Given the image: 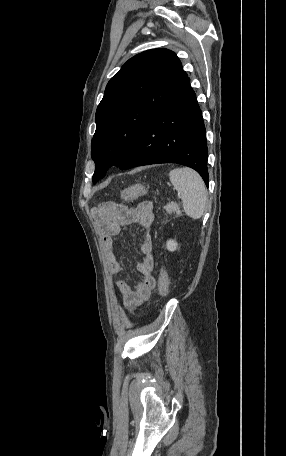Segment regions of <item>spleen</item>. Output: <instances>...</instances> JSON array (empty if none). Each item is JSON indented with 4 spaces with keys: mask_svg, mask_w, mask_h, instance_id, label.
<instances>
[{
    "mask_svg": "<svg viewBox=\"0 0 286 456\" xmlns=\"http://www.w3.org/2000/svg\"><path fill=\"white\" fill-rule=\"evenodd\" d=\"M169 178L174 189L181 195L185 214L192 219H200L208 203L207 189L201 176L184 167L170 171Z\"/></svg>",
    "mask_w": 286,
    "mask_h": 456,
    "instance_id": "3e777b00",
    "label": "spleen"
}]
</instances>
